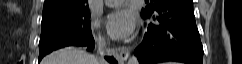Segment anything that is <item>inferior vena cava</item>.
I'll return each instance as SVG.
<instances>
[{
	"label": "inferior vena cava",
	"instance_id": "1",
	"mask_svg": "<svg viewBox=\"0 0 242 64\" xmlns=\"http://www.w3.org/2000/svg\"><path fill=\"white\" fill-rule=\"evenodd\" d=\"M106 45V42L104 41L103 38H100L97 42V46H98V53H100L101 55L104 54V47ZM100 64H106L105 60L102 58L100 59Z\"/></svg>",
	"mask_w": 242,
	"mask_h": 64
}]
</instances>
